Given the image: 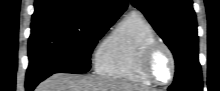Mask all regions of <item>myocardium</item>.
<instances>
[{
    "label": "myocardium",
    "mask_w": 220,
    "mask_h": 91,
    "mask_svg": "<svg viewBox=\"0 0 220 91\" xmlns=\"http://www.w3.org/2000/svg\"><path fill=\"white\" fill-rule=\"evenodd\" d=\"M164 50L170 59V64H171V72L169 79L165 82L159 81L157 78L154 77L152 70H151V61L154 55L158 50ZM139 67L142 75L147 79L150 83L159 85V86H166L169 85L175 78L176 74V59L174 56L173 51L171 48L165 44L162 41L155 40L148 44L144 50L142 51L139 59Z\"/></svg>",
    "instance_id": "myocardium-1"
}]
</instances>
